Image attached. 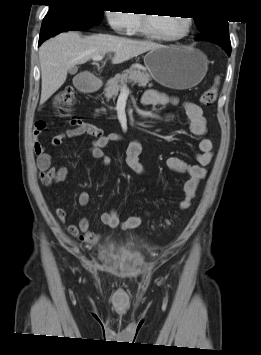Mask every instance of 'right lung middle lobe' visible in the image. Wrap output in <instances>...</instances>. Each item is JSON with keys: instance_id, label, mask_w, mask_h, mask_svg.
<instances>
[{"instance_id": "right-lung-middle-lobe-1", "label": "right lung middle lobe", "mask_w": 261, "mask_h": 355, "mask_svg": "<svg viewBox=\"0 0 261 355\" xmlns=\"http://www.w3.org/2000/svg\"><path fill=\"white\" fill-rule=\"evenodd\" d=\"M91 0H64L50 5L48 13H73L87 22L98 25L103 19L104 11L99 9Z\"/></svg>"}]
</instances>
